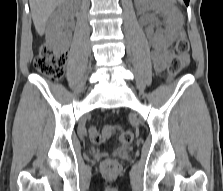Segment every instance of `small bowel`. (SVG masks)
I'll list each match as a JSON object with an SVG mask.
<instances>
[{
  "label": "small bowel",
  "mask_w": 223,
  "mask_h": 191,
  "mask_svg": "<svg viewBox=\"0 0 223 191\" xmlns=\"http://www.w3.org/2000/svg\"><path fill=\"white\" fill-rule=\"evenodd\" d=\"M173 55V51L169 48H156L151 52V62L154 69L158 72L164 70L169 58ZM188 57L184 56L182 58V64L187 65Z\"/></svg>",
  "instance_id": "1"
}]
</instances>
